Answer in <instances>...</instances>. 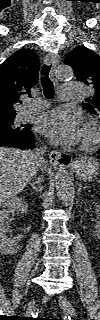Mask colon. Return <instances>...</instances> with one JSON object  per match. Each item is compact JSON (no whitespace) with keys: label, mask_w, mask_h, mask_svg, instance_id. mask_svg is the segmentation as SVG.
<instances>
[{"label":"colon","mask_w":100,"mask_h":320,"mask_svg":"<svg viewBox=\"0 0 100 320\" xmlns=\"http://www.w3.org/2000/svg\"><path fill=\"white\" fill-rule=\"evenodd\" d=\"M51 320H60V319H51Z\"/></svg>","instance_id":"colon-1"}]
</instances>
